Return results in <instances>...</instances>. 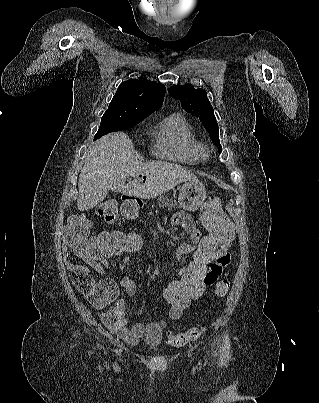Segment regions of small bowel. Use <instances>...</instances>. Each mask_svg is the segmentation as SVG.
<instances>
[{"label":"small bowel","instance_id":"1","mask_svg":"<svg viewBox=\"0 0 319 403\" xmlns=\"http://www.w3.org/2000/svg\"><path fill=\"white\" fill-rule=\"evenodd\" d=\"M172 224L180 227L190 236V243L181 244L176 251L178 259L186 255H192L196 258L197 242H200L202 236L191 217L186 213H176L172 217ZM129 234V233H128ZM145 246V243H144ZM72 248H64L63 256L65 266L69 271L87 272L89 269L80 264L71 262L69 251ZM110 258H101V254L95 256H87L85 262L99 275H102ZM229 261V252H220L214 265H211L209 271L204 272V283L206 286H214L220 277V272L224 270ZM186 267H189L186 266ZM186 267L181 268L180 275H186ZM179 282V280L173 281ZM118 284L129 296H134L137 292V286L130 276L122 277L118 280ZM114 285L113 279H92L90 291H88V300H90L93 309H106L102 314V321L107 327L108 335H117L128 344H137L146 334V328L141 324L130 326L126 316L125 300L119 298L120 286ZM163 291V298L166 295ZM202 296H199V299ZM114 300L115 303H114ZM195 301V300H192ZM114 304V305H113ZM109 305H113L108 308ZM170 318L178 319L182 313H169Z\"/></svg>","mask_w":319,"mask_h":403}]
</instances>
